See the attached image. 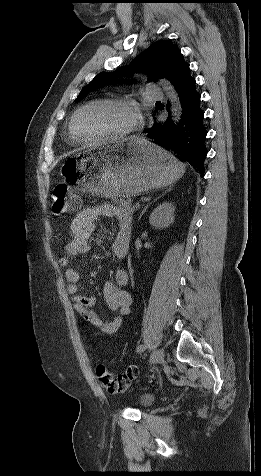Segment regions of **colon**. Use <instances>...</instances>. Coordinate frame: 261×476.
<instances>
[{
  "label": "colon",
  "instance_id": "obj_1",
  "mask_svg": "<svg viewBox=\"0 0 261 476\" xmlns=\"http://www.w3.org/2000/svg\"><path fill=\"white\" fill-rule=\"evenodd\" d=\"M78 199L70 191L66 183H59L52 193V212L56 216H62L78 208ZM137 375L135 366H130L125 373L116 375L105 365L96 367V376L101 385L110 393L125 392L132 380Z\"/></svg>",
  "mask_w": 261,
  "mask_h": 476
}]
</instances>
